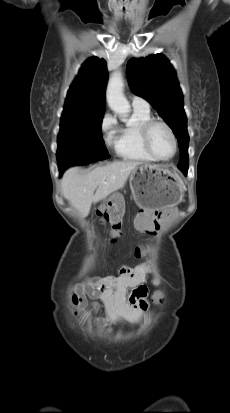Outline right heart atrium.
<instances>
[{"label":"right heart atrium","instance_id":"d8ad5b80","mask_svg":"<svg viewBox=\"0 0 230 413\" xmlns=\"http://www.w3.org/2000/svg\"><path fill=\"white\" fill-rule=\"evenodd\" d=\"M100 130L102 133L104 143L107 146H111L115 144V141L117 138L118 127H117V121L113 115L106 114L103 117L101 124H100Z\"/></svg>","mask_w":230,"mask_h":413}]
</instances>
